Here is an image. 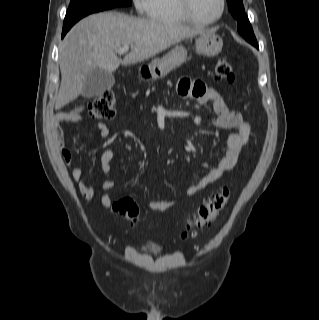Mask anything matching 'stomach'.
I'll return each mask as SVG.
<instances>
[{
  "label": "stomach",
  "instance_id": "1",
  "mask_svg": "<svg viewBox=\"0 0 319 320\" xmlns=\"http://www.w3.org/2000/svg\"><path fill=\"white\" fill-rule=\"evenodd\" d=\"M222 47L223 40L214 31L201 32L195 38V49L198 54L213 57L221 52ZM187 59V50L182 45H176L163 58L153 59L147 65V74L153 80L162 79L170 71L186 62Z\"/></svg>",
  "mask_w": 319,
  "mask_h": 320
}]
</instances>
